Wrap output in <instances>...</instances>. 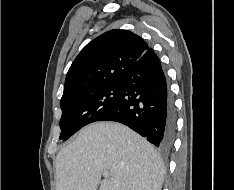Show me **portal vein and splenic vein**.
<instances>
[{
  "mask_svg": "<svg viewBox=\"0 0 234 190\" xmlns=\"http://www.w3.org/2000/svg\"><path fill=\"white\" fill-rule=\"evenodd\" d=\"M103 176H104V177H108V176H109V172H108V171H104V172H103Z\"/></svg>",
  "mask_w": 234,
  "mask_h": 190,
  "instance_id": "obj_1",
  "label": "portal vein and splenic vein"
}]
</instances>
